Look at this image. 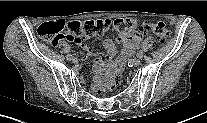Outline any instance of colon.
I'll return each instance as SVG.
<instances>
[{"label":"colon","instance_id":"5ec220e1","mask_svg":"<svg viewBox=\"0 0 207 123\" xmlns=\"http://www.w3.org/2000/svg\"><path fill=\"white\" fill-rule=\"evenodd\" d=\"M63 21L57 20L52 22H45L38 26L37 34L43 38L50 40L52 45L56 46L59 41L64 38L61 34L64 29ZM117 28L120 31H130L137 27L143 29L146 32L154 33L161 42H167L170 38V32L161 22H138L131 18L116 19L111 22L108 19H91L83 22L72 21L67 25V39L75 41L81 38H89L93 36L102 35L106 31L112 28ZM117 84V77H111L106 80L103 88L99 91L105 93L112 90Z\"/></svg>","mask_w":207,"mask_h":123}]
</instances>
